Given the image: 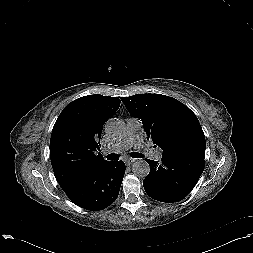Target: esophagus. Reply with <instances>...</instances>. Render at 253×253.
<instances>
[{
    "mask_svg": "<svg viewBox=\"0 0 253 253\" xmlns=\"http://www.w3.org/2000/svg\"><path fill=\"white\" fill-rule=\"evenodd\" d=\"M134 162H135V159H133V158H127V159L125 160L126 165H131V164L134 163Z\"/></svg>",
    "mask_w": 253,
    "mask_h": 253,
    "instance_id": "1",
    "label": "esophagus"
}]
</instances>
